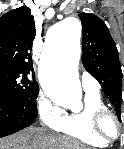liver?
<instances>
[{"label": "liver", "instance_id": "6515ba94", "mask_svg": "<svg viewBox=\"0 0 124 149\" xmlns=\"http://www.w3.org/2000/svg\"><path fill=\"white\" fill-rule=\"evenodd\" d=\"M0 149H87L80 142L51 134L43 128H28L0 139Z\"/></svg>", "mask_w": 124, "mask_h": 149}]
</instances>
